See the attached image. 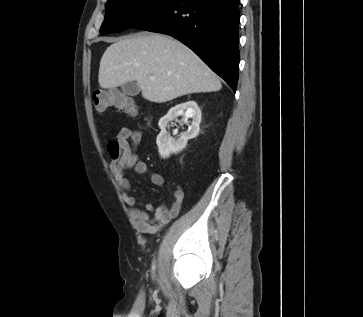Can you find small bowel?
I'll use <instances>...</instances> for the list:
<instances>
[{
	"mask_svg": "<svg viewBox=\"0 0 363 317\" xmlns=\"http://www.w3.org/2000/svg\"><path fill=\"white\" fill-rule=\"evenodd\" d=\"M117 138L122 147V154L118 160L112 161L111 166L115 179L123 190V200L129 207V215L138 230L156 233L178 216L184 199V192L181 187L174 190V202L169 208L165 206L155 208L150 201L138 202L130 194L133 188L126 177V171L129 168H134L138 174H149L151 182L156 186H161L164 183V178L159 173L150 172L148 165L138 158L135 152L141 139L138 131L124 127L119 131ZM149 212H153L152 217Z\"/></svg>",
	"mask_w": 363,
	"mask_h": 317,
	"instance_id": "obj_1",
	"label": "small bowel"
}]
</instances>
